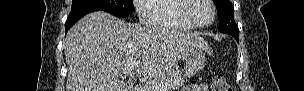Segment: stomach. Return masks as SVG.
Wrapping results in <instances>:
<instances>
[{
	"mask_svg": "<svg viewBox=\"0 0 304 91\" xmlns=\"http://www.w3.org/2000/svg\"><path fill=\"white\" fill-rule=\"evenodd\" d=\"M206 52L210 53L211 50L200 46H193L183 55V59L186 62L185 71L188 76H193L204 68Z\"/></svg>",
	"mask_w": 304,
	"mask_h": 91,
	"instance_id": "obj_1",
	"label": "stomach"
}]
</instances>
